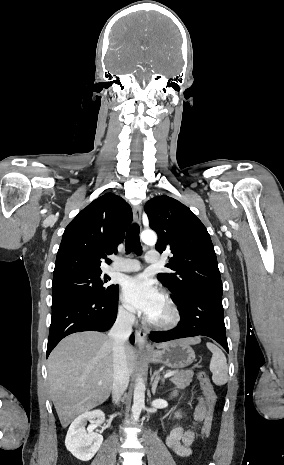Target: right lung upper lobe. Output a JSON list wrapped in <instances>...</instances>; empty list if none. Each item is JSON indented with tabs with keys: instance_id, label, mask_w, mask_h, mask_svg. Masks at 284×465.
<instances>
[{
	"instance_id": "obj_1",
	"label": "right lung upper lobe",
	"mask_w": 284,
	"mask_h": 465,
	"mask_svg": "<svg viewBox=\"0 0 284 465\" xmlns=\"http://www.w3.org/2000/svg\"><path fill=\"white\" fill-rule=\"evenodd\" d=\"M131 221L130 205L115 194H104L90 203L63 233L53 280L75 274L102 273L101 260L117 253V245L123 241Z\"/></svg>"
}]
</instances>
